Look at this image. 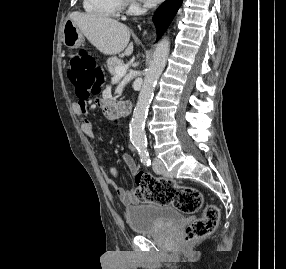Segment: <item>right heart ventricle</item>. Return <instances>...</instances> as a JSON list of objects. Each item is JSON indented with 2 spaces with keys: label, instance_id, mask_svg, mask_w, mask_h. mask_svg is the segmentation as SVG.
<instances>
[{
  "label": "right heart ventricle",
  "instance_id": "1",
  "mask_svg": "<svg viewBox=\"0 0 286 269\" xmlns=\"http://www.w3.org/2000/svg\"><path fill=\"white\" fill-rule=\"evenodd\" d=\"M122 7L123 4L120 0H83L85 12L97 18H117Z\"/></svg>",
  "mask_w": 286,
  "mask_h": 269
}]
</instances>
